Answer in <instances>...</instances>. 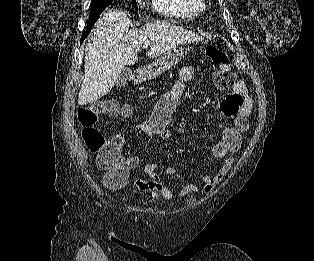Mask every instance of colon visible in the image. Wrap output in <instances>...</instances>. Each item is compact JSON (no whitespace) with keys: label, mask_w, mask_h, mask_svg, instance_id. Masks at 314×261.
<instances>
[{"label":"colon","mask_w":314,"mask_h":261,"mask_svg":"<svg viewBox=\"0 0 314 261\" xmlns=\"http://www.w3.org/2000/svg\"><path fill=\"white\" fill-rule=\"evenodd\" d=\"M205 52L209 60L219 68L215 75L217 86L226 88L235 85L226 53L216 46H208ZM118 112L119 105L113 99L82 106L78 111L82 138L89 151L97 155V166L104 172V183L110 188H120L125 185L127 166L121 162L116 166L113 165L122 144L117 138L105 137L96 125L101 116H113Z\"/></svg>","instance_id":"1"}]
</instances>
